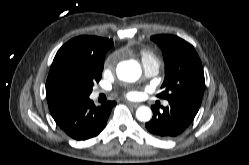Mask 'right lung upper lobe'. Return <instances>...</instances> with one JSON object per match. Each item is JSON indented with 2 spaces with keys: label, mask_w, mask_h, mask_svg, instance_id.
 <instances>
[{
  "label": "right lung upper lobe",
  "mask_w": 249,
  "mask_h": 165,
  "mask_svg": "<svg viewBox=\"0 0 249 165\" xmlns=\"http://www.w3.org/2000/svg\"><path fill=\"white\" fill-rule=\"evenodd\" d=\"M112 46L111 39L96 36H79L64 44L57 52L47 78V102L76 97L67 77L69 65L87 60L103 65L105 54Z\"/></svg>",
  "instance_id": "1"
}]
</instances>
